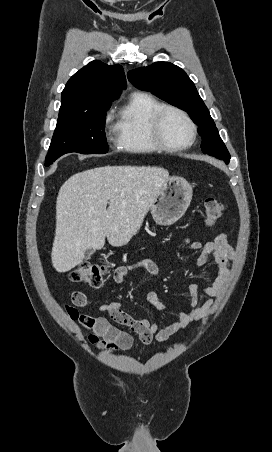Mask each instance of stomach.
<instances>
[{
	"label": "stomach",
	"instance_id": "0dacf381",
	"mask_svg": "<svg viewBox=\"0 0 272 452\" xmlns=\"http://www.w3.org/2000/svg\"><path fill=\"white\" fill-rule=\"evenodd\" d=\"M192 199V187L180 176H169L156 195L150 210L158 225L169 226L178 221Z\"/></svg>",
	"mask_w": 272,
	"mask_h": 452
}]
</instances>
